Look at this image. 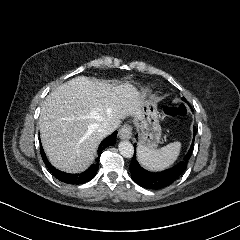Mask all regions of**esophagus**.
I'll use <instances>...</instances> for the list:
<instances>
[{
    "mask_svg": "<svg viewBox=\"0 0 240 240\" xmlns=\"http://www.w3.org/2000/svg\"><path fill=\"white\" fill-rule=\"evenodd\" d=\"M132 126L129 124H124L118 131V137L120 139H130L132 136Z\"/></svg>",
    "mask_w": 240,
    "mask_h": 240,
    "instance_id": "esophagus-1",
    "label": "esophagus"
}]
</instances>
